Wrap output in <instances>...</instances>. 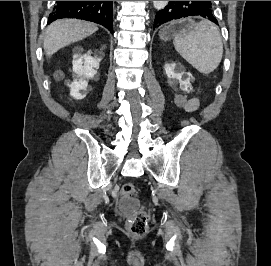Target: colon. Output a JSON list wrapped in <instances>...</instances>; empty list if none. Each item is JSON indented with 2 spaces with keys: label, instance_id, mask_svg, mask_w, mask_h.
<instances>
[{
  "label": "colon",
  "instance_id": "1",
  "mask_svg": "<svg viewBox=\"0 0 271 266\" xmlns=\"http://www.w3.org/2000/svg\"><path fill=\"white\" fill-rule=\"evenodd\" d=\"M121 195L125 198H134L136 195V189L133 183L127 182L121 188ZM129 231L137 236L142 237L148 230V215L144 211H138L127 222Z\"/></svg>",
  "mask_w": 271,
  "mask_h": 266
}]
</instances>
